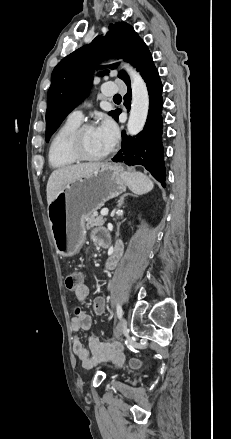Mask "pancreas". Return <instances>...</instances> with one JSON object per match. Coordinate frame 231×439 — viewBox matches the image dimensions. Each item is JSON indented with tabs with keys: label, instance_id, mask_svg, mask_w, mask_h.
<instances>
[{
	"label": "pancreas",
	"instance_id": "pancreas-1",
	"mask_svg": "<svg viewBox=\"0 0 231 439\" xmlns=\"http://www.w3.org/2000/svg\"><path fill=\"white\" fill-rule=\"evenodd\" d=\"M106 219L101 216H97L96 213H92L91 215L86 217V228L90 229L95 226H102L105 224Z\"/></svg>",
	"mask_w": 231,
	"mask_h": 439
}]
</instances>
